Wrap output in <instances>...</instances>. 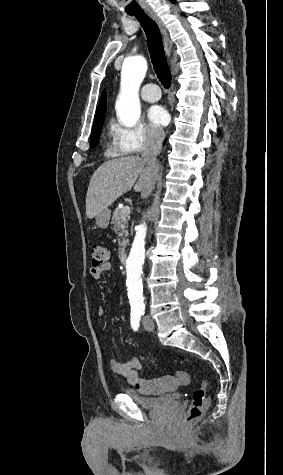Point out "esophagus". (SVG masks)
I'll list each match as a JSON object with an SVG mask.
<instances>
[{
  "label": "esophagus",
  "instance_id": "esophagus-1",
  "mask_svg": "<svg viewBox=\"0 0 283 475\" xmlns=\"http://www.w3.org/2000/svg\"><path fill=\"white\" fill-rule=\"evenodd\" d=\"M146 13L149 15V17L152 18V20H154V22L157 23L159 29L161 30V32L163 34V42H164V47H165L166 54L168 55V57H170V55L172 53V43L169 39V36L167 34V31L165 29V26H164L162 20L153 11L146 10Z\"/></svg>",
  "mask_w": 283,
  "mask_h": 475
}]
</instances>
